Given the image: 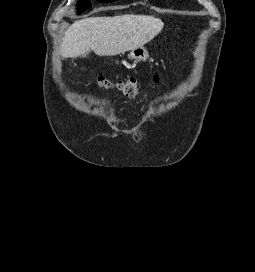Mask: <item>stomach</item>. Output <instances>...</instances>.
Masks as SVG:
<instances>
[{"label":"stomach","mask_w":255,"mask_h":272,"mask_svg":"<svg viewBox=\"0 0 255 272\" xmlns=\"http://www.w3.org/2000/svg\"><path fill=\"white\" fill-rule=\"evenodd\" d=\"M128 57L130 60L134 62H145L148 59L149 54L147 49L141 46V47L132 49Z\"/></svg>","instance_id":"0dacf381"}]
</instances>
